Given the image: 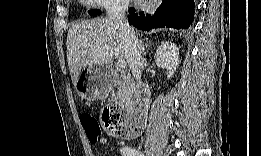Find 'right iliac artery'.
Listing matches in <instances>:
<instances>
[{
    "instance_id": "1",
    "label": "right iliac artery",
    "mask_w": 261,
    "mask_h": 156,
    "mask_svg": "<svg viewBox=\"0 0 261 156\" xmlns=\"http://www.w3.org/2000/svg\"><path fill=\"white\" fill-rule=\"evenodd\" d=\"M121 152L125 156H142L141 152L128 146L123 147Z\"/></svg>"
}]
</instances>
